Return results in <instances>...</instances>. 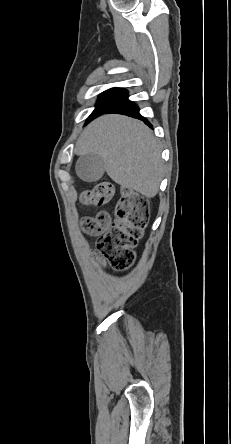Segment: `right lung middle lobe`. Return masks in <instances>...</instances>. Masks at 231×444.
<instances>
[{
    "label": "right lung middle lobe",
    "instance_id": "1",
    "mask_svg": "<svg viewBox=\"0 0 231 444\" xmlns=\"http://www.w3.org/2000/svg\"><path fill=\"white\" fill-rule=\"evenodd\" d=\"M126 96H127L126 91L122 90V89H118V88L109 89V90L101 93L99 96L97 105H96V109L89 116L87 123L90 122L95 117L102 114L104 111H106L110 107L117 104L119 101H121Z\"/></svg>",
    "mask_w": 231,
    "mask_h": 444
}]
</instances>
